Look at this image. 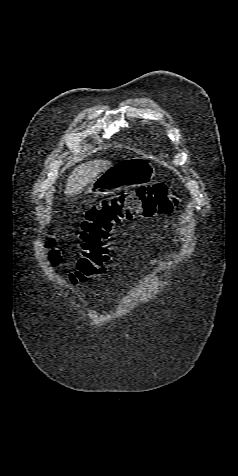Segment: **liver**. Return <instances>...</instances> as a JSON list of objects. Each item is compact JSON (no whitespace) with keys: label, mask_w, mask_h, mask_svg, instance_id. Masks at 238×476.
Wrapping results in <instances>:
<instances>
[{"label":"liver","mask_w":238,"mask_h":476,"mask_svg":"<svg viewBox=\"0 0 238 476\" xmlns=\"http://www.w3.org/2000/svg\"><path fill=\"white\" fill-rule=\"evenodd\" d=\"M111 162L107 160H93L76 166L68 176L66 195L73 196L82 192L84 187L91 184L96 177L109 169Z\"/></svg>","instance_id":"1"}]
</instances>
